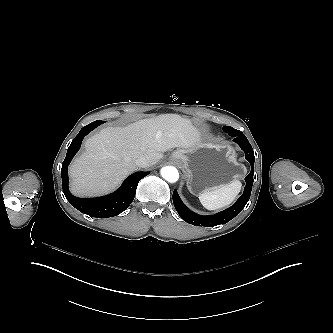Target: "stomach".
I'll return each instance as SVG.
<instances>
[{
    "instance_id": "obj_1",
    "label": "stomach",
    "mask_w": 333,
    "mask_h": 333,
    "mask_svg": "<svg viewBox=\"0 0 333 333\" xmlns=\"http://www.w3.org/2000/svg\"><path fill=\"white\" fill-rule=\"evenodd\" d=\"M169 159L182 169L187 187L193 195L214 190L243 177L241 170L244 165L237 162L236 153L229 145L202 141L194 149L177 148Z\"/></svg>"
}]
</instances>
